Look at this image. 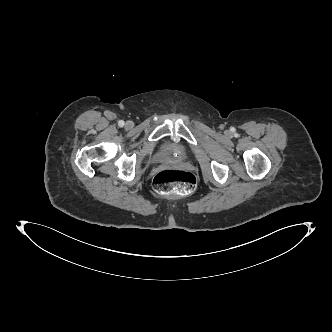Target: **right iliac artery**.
<instances>
[{
	"label": "right iliac artery",
	"instance_id": "obj_1",
	"mask_svg": "<svg viewBox=\"0 0 332 332\" xmlns=\"http://www.w3.org/2000/svg\"><path fill=\"white\" fill-rule=\"evenodd\" d=\"M124 121L123 120H120L119 122H118V125L120 126V127H123L124 126Z\"/></svg>",
	"mask_w": 332,
	"mask_h": 332
}]
</instances>
